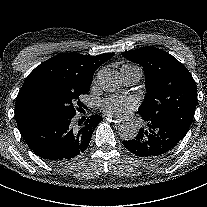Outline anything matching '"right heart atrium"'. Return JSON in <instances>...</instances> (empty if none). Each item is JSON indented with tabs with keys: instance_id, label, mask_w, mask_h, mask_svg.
<instances>
[{
	"instance_id": "right-heart-atrium-1",
	"label": "right heart atrium",
	"mask_w": 207,
	"mask_h": 207,
	"mask_svg": "<svg viewBox=\"0 0 207 207\" xmlns=\"http://www.w3.org/2000/svg\"><path fill=\"white\" fill-rule=\"evenodd\" d=\"M94 84H97V79H94Z\"/></svg>"
}]
</instances>
